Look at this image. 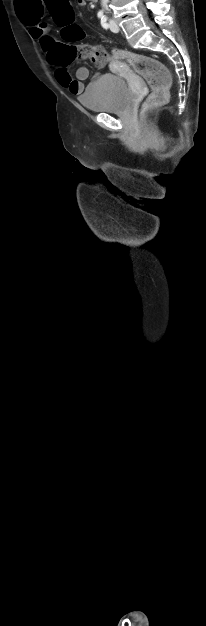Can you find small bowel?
I'll return each instance as SVG.
<instances>
[{
  "label": "small bowel",
  "instance_id": "c3829d8e",
  "mask_svg": "<svg viewBox=\"0 0 206 626\" xmlns=\"http://www.w3.org/2000/svg\"><path fill=\"white\" fill-rule=\"evenodd\" d=\"M78 6L84 7L86 5V0H76ZM31 26L30 34L36 39L42 51L44 52L47 61L57 66V70L55 71V77L58 83L64 88L68 89L70 93L74 95H80L84 91L83 81L89 77V70L86 67H80L77 69L75 74V79H73L68 71L63 67L55 63L54 61V49L57 46L48 35V26L45 23H29ZM115 65L119 66V62H115Z\"/></svg>",
  "mask_w": 206,
  "mask_h": 626
}]
</instances>
